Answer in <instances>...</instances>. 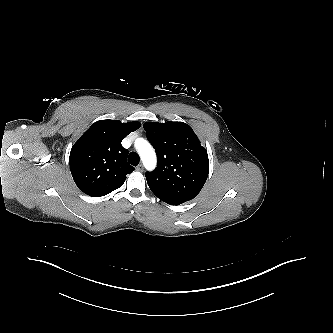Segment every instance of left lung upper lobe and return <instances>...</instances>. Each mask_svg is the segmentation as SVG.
Instances as JSON below:
<instances>
[{"label":"left lung upper lobe","instance_id":"1","mask_svg":"<svg viewBox=\"0 0 333 333\" xmlns=\"http://www.w3.org/2000/svg\"><path fill=\"white\" fill-rule=\"evenodd\" d=\"M146 136L156 150L157 167L145 174L162 201L186 202L198 195L209 173V160L192 128L183 122H146Z\"/></svg>","mask_w":333,"mask_h":333}]
</instances>
